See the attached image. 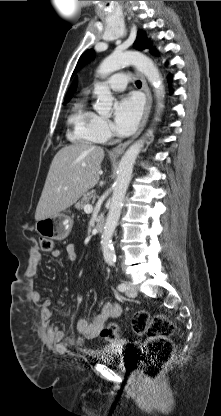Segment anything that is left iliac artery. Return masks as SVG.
I'll list each match as a JSON object with an SVG mask.
<instances>
[{
    "label": "left iliac artery",
    "mask_w": 221,
    "mask_h": 416,
    "mask_svg": "<svg viewBox=\"0 0 221 416\" xmlns=\"http://www.w3.org/2000/svg\"><path fill=\"white\" fill-rule=\"evenodd\" d=\"M117 288L120 292H124L126 290V285L124 283H121L118 285Z\"/></svg>",
    "instance_id": "44dca946"
}]
</instances>
